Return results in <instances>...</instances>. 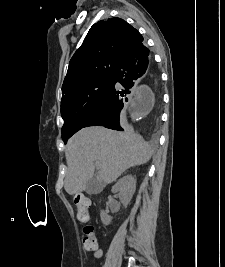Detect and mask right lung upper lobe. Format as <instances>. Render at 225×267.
<instances>
[{
	"label": "right lung upper lobe",
	"instance_id": "right-lung-upper-lobe-1",
	"mask_svg": "<svg viewBox=\"0 0 225 267\" xmlns=\"http://www.w3.org/2000/svg\"><path fill=\"white\" fill-rule=\"evenodd\" d=\"M141 42L143 36L121 18L95 23L70 60L62 93L91 79L113 74L122 55Z\"/></svg>",
	"mask_w": 225,
	"mask_h": 267
}]
</instances>
